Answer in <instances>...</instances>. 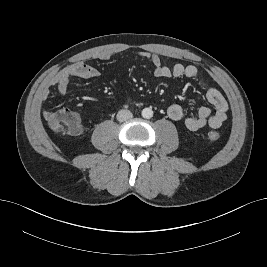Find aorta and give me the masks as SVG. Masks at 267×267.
<instances>
[{"label":"aorta","instance_id":"1","mask_svg":"<svg viewBox=\"0 0 267 267\" xmlns=\"http://www.w3.org/2000/svg\"><path fill=\"white\" fill-rule=\"evenodd\" d=\"M153 116V110L151 108H144L142 110V117L150 119Z\"/></svg>","mask_w":267,"mask_h":267}]
</instances>
